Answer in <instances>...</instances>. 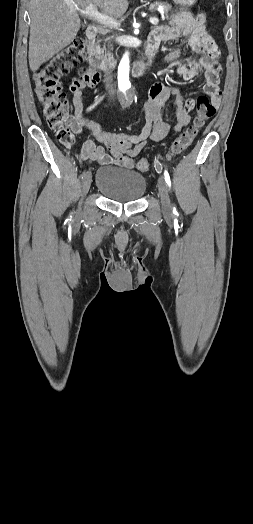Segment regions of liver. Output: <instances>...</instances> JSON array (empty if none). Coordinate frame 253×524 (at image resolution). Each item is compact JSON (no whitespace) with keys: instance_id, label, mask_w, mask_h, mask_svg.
<instances>
[{"instance_id":"obj_1","label":"liver","mask_w":253,"mask_h":524,"mask_svg":"<svg viewBox=\"0 0 253 524\" xmlns=\"http://www.w3.org/2000/svg\"><path fill=\"white\" fill-rule=\"evenodd\" d=\"M90 4L112 17H120L128 9V0H30L28 57L33 72L76 38L80 18L74 7Z\"/></svg>"}]
</instances>
